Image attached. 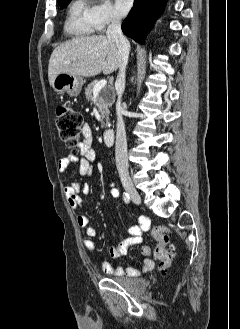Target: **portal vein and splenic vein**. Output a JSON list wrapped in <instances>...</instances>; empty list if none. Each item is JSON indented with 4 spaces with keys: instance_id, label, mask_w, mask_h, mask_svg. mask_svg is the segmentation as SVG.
I'll use <instances>...</instances> for the list:
<instances>
[{
    "instance_id": "1",
    "label": "portal vein and splenic vein",
    "mask_w": 240,
    "mask_h": 329,
    "mask_svg": "<svg viewBox=\"0 0 240 329\" xmlns=\"http://www.w3.org/2000/svg\"><path fill=\"white\" fill-rule=\"evenodd\" d=\"M107 81L105 79L97 82L93 88V95H98L99 92L104 89V87L106 86Z\"/></svg>"
}]
</instances>
